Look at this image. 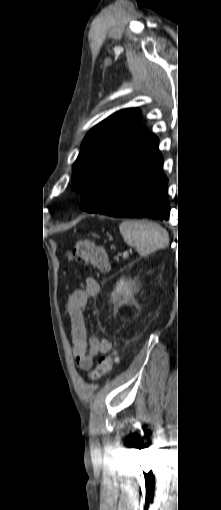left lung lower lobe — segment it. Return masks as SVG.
Returning <instances> with one entry per match:
<instances>
[{"label":"left lung lower lobe","mask_w":221,"mask_h":510,"mask_svg":"<svg viewBox=\"0 0 221 510\" xmlns=\"http://www.w3.org/2000/svg\"><path fill=\"white\" fill-rule=\"evenodd\" d=\"M162 156L159 154L147 164L104 208L95 209L81 203L80 208L90 213L111 217H148L168 219V179L162 171Z\"/></svg>","instance_id":"left-lung-lower-lobe-1"}]
</instances>
